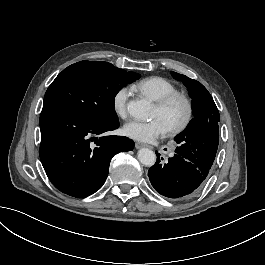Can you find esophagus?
<instances>
[{
  "label": "esophagus",
  "mask_w": 265,
  "mask_h": 265,
  "mask_svg": "<svg viewBox=\"0 0 265 265\" xmlns=\"http://www.w3.org/2000/svg\"><path fill=\"white\" fill-rule=\"evenodd\" d=\"M142 147H147V148H150V149H153V146L149 145V144H146V143H141V142H137L135 143V148L136 149H140Z\"/></svg>",
  "instance_id": "esophagus-1"
}]
</instances>
